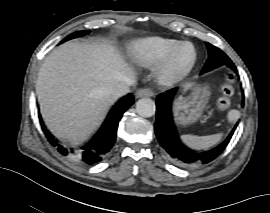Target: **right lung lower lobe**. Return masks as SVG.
I'll use <instances>...</instances> for the list:
<instances>
[{
    "label": "right lung lower lobe",
    "instance_id": "1",
    "mask_svg": "<svg viewBox=\"0 0 270 213\" xmlns=\"http://www.w3.org/2000/svg\"><path fill=\"white\" fill-rule=\"evenodd\" d=\"M134 103V98L131 94L119 101L109 112L105 122L101 126L97 134L81 147L80 150H73L62 146L49 133L44 126L41 116L40 122L42 129L51 145L57 147L58 151L65 156L75 157L85 164H93L102 160V158L110 151L116 140V131L118 123L123 113Z\"/></svg>",
    "mask_w": 270,
    "mask_h": 213
}]
</instances>
